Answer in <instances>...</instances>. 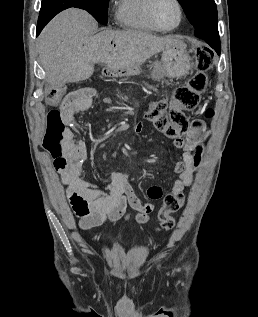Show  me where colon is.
Returning a JSON list of instances; mask_svg holds the SVG:
<instances>
[{
    "label": "colon",
    "instance_id": "colon-1",
    "mask_svg": "<svg viewBox=\"0 0 258 317\" xmlns=\"http://www.w3.org/2000/svg\"><path fill=\"white\" fill-rule=\"evenodd\" d=\"M195 54L197 71L188 83L176 89L170 102L151 103L145 115L158 131L170 139L175 140L187 134L190 125L187 113L199 105L208 84L206 72L214 65L215 55L209 48H198ZM62 94L63 87L55 88L49 96V101L59 104ZM206 115L210 117L212 111L208 110ZM70 122L69 117L60 107L49 112L44 138V147L47 150L59 153L69 142L72 136ZM183 203L184 197L181 193H171L165 196L158 215L161 229L173 228L175 220L172 214L180 210Z\"/></svg>",
    "mask_w": 258,
    "mask_h": 317
}]
</instances>
